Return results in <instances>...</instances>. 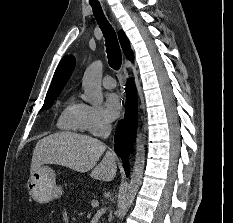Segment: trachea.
Listing matches in <instances>:
<instances>
[{
	"label": "trachea",
	"instance_id": "3493384b",
	"mask_svg": "<svg viewBox=\"0 0 233 223\" xmlns=\"http://www.w3.org/2000/svg\"><path fill=\"white\" fill-rule=\"evenodd\" d=\"M94 16L105 38L108 63L114 70H119L122 64V55L117 36L113 27L106 20L99 2L91 3Z\"/></svg>",
	"mask_w": 233,
	"mask_h": 223
}]
</instances>
